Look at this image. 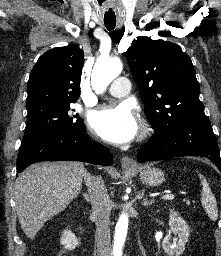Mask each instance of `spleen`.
I'll list each match as a JSON object with an SVG mask.
<instances>
[{
  "mask_svg": "<svg viewBox=\"0 0 221 256\" xmlns=\"http://www.w3.org/2000/svg\"><path fill=\"white\" fill-rule=\"evenodd\" d=\"M202 184V192H201V203L204 207L206 213L212 221H216L218 218V208L214 195L211 192L209 184L207 180L203 177V175H199Z\"/></svg>",
  "mask_w": 221,
  "mask_h": 256,
  "instance_id": "obj_1",
  "label": "spleen"
}]
</instances>
